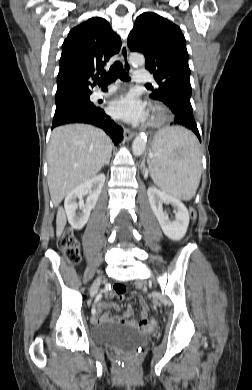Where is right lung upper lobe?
<instances>
[{
    "instance_id": "obj_1",
    "label": "right lung upper lobe",
    "mask_w": 252,
    "mask_h": 390,
    "mask_svg": "<svg viewBox=\"0 0 252 390\" xmlns=\"http://www.w3.org/2000/svg\"><path fill=\"white\" fill-rule=\"evenodd\" d=\"M120 47V37L103 18L94 17L73 28L62 45L56 101L90 95L89 80L105 73V64Z\"/></svg>"
}]
</instances>
